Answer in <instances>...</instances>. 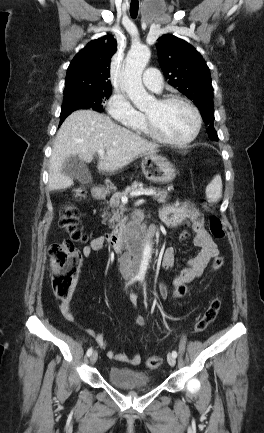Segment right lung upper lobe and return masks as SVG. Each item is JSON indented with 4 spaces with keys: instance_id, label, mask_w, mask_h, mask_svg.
Instances as JSON below:
<instances>
[{
    "instance_id": "obj_1",
    "label": "right lung upper lobe",
    "mask_w": 264,
    "mask_h": 433,
    "mask_svg": "<svg viewBox=\"0 0 264 433\" xmlns=\"http://www.w3.org/2000/svg\"><path fill=\"white\" fill-rule=\"evenodd\" d=\"M116 40L106 35L87 44L71 61L66 74L64 97L74 93L112 88L110 60Z\"/></svg>"
}]
</instances>
